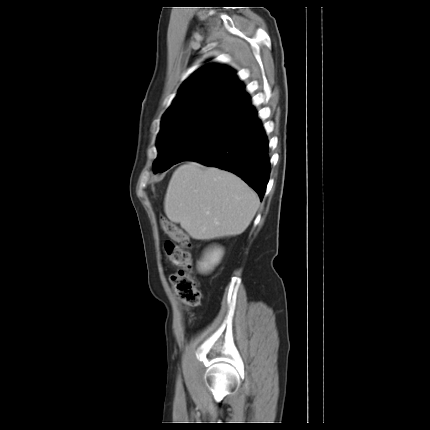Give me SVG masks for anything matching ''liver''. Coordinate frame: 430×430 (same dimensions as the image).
<instances>
[{
	"instance_id": "liver-1",
	"label": "liver",
	"mask_w": 430,
	"mask_h": 430,
	"mask_svg": "<svg viewBox=\"0 0 430 430\" xmlns=\"http://www.w3.org/2000/svg\"><path fill=\"white\" fill-rule=\"evenodd\" d=\"M257 194L237 175L192 161L169 182L164 210L197 240L243 233L259 207Z\"/></svg>"
}]
</instances>
